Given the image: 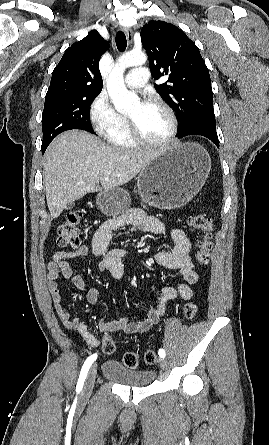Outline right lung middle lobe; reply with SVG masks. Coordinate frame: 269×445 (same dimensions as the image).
I'll return each mask as SVG.
<instances>
[{
    "instance_id": "1",
    "label": "right lung middle lobe",
    "mask_w": 269,
    "mask_h": 445,
    "mask_svg": "<svg viewBox=\"0 0 269 445\" xmlns=\"http://www.w3.org/2000/svg\"><path fill=\"white\" fill-rule=\"evenodd\" d=\"M97 94H51L46 95L42 114V152L61 132L82 129L95 134L90 120L89 108Z\"/></svg>"
}]
</instances>
